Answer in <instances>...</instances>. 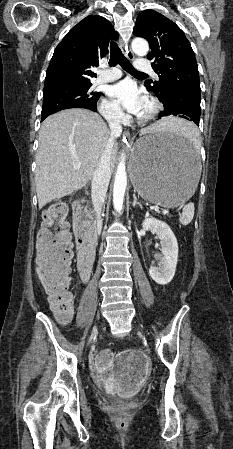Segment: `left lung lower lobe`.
Masks as SVG:
<instances>
[{"instance_id":"obj_1","label":"left lung lower lobe","mask_w":233,"mask_h":449,"mask_svg":"<svg viewBox=\"0 0 233 449\" xmlns=\"http://www.w3.org/2000/svg\"><path fill=\"white\" fill-rule=\"evenodd\" d=\"M164 105V111L160 113L159 119L164 116H178L193 121L199 126L201 108L194 101L184 99L183 97L168 93L156 95Z\"/></svg>"}]
</instances>
